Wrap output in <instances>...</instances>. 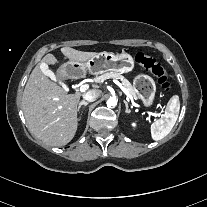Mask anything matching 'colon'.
I'll return each mask as SVG.
<instances>
[{
  "label": "colon",
  "mask_w": 207,
  "mask_h": 207,
  "mask_svg": "<svg viewBox=\"0 0 207 207\" xmlns=\"http://www.w3.org/2000/svg\"><path fill=\"white\" fill-rule=\"evenodd\" d=\"M147 68L151 69V71L158 77V82L160 83L163 89L168 88L167 76L165 75L164 68L160 65L155 63L152 60L146 61Z\"/></svg>",
  "instance_id": "1"
}]
</instances>
